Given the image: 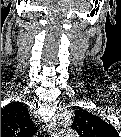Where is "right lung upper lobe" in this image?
<instances>
[{
    "instance_id": "right-lung-upper-lobe-1",
    "label": "right lung upper lobe",
    "mask_w": 121,
    "mask_h": 137,
    "mask_svg": "<svg viewBox=\"0 0 121 137\" xmlns=\"http://www.w3.org/2000/svg\"><path fill=\"white\" fill-rule=\"evenodd\" d=\"M34 130L25 106L14 102L1 108V136L30 135L34 133Z\"/></svg>"
}]
</instances>
